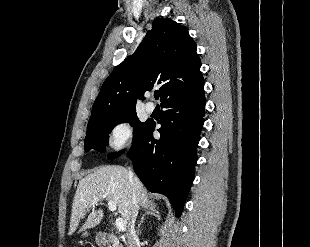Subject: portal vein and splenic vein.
<instances>
[{
	"label": "portal vein and splenic vein",
	"mask_w": 310,
	"mask_h": 247,
	"mask_svg": "<svg viewBox=\"0 0 310 247\" xmlns=\"http://www.w3.org/2000/svg\"><path fill=\"white\" fill-rule=\"evenodd\" d=\"M98 201H99V199H97V198L94 199V201L91 203V205L94 206L95 204H97ZM108 206H109V210L111 212H114L117 209L116 203L112 200L108 201ZM115 225L119 231L124 232L126 230V225H125L122 218H116Z\"/></svg>",
	"instance_id": "obj_1"
}]
</instances>
